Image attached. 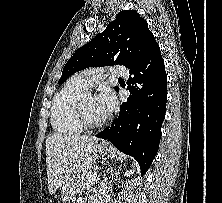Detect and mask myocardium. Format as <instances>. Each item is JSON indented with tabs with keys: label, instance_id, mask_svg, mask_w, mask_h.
Here are the masks:
<instances>
[{
	"label": "myocardium",
	"instance_id": "obj_1",
	"mask_svg": "<svg viewBox=\"0 0 222 203\" xmlns=\"http://www.w3.org/2000/svg\"><path fill=\"white\" fill-rule=\"evenodd\" d=\"M88 96H93V94L89 93V92H84L80 98L78 99L77 105H76V112H77V117L80 121V123L82 124V126L84 128H88V129H93V128H97L102 126L108 119L107 116H105L104 118L97 120V121H93L91 120L85 111V99Z\"/></svg>",
	"mask_w": 222,
	"mask_h": 203
}]
</instances>
